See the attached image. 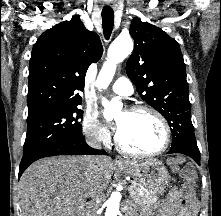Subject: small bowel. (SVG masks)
Instances as JSON below:
<instances>
[{
	"label": "small bowel",
	"instance_id": "small-bowel-1",
	"mask_svg": "<svg viewBox=\"0 0 221 216\" xmlns=\"http://www.w3.org/2000/svg\"><path fill=\"white\" fill-rule=\"evenodd\" d=\"M197 205L187 207L180 205V194L177 190H171L168 197L159 207L156 216H196Z\"/></svg>",
	"mask_w": 221,
	"mask_h": 216
}]
</instances>
